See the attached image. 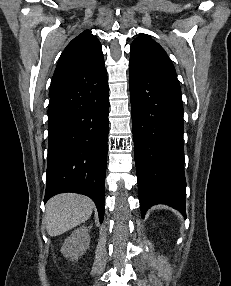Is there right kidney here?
<instances>
[{
  "label": "right kidney",
  "instance_id": "1",
  "mask_svg": "<svg viewBox=\"0 0 231 286\" xmlns=\"http://www.w3.org/2000/svg\"><path fill=\"white\" fill-rule=\"evenodd\" d=\"M90 237L87 226L79 227L67 237L61 247V253L71 260H78L89 247Z\"/></svg>",
  "mask_w": 231,
  "mask_h": 286
}]
</instances>
